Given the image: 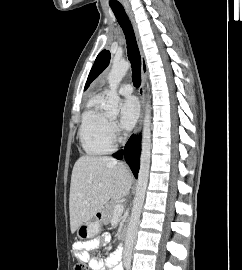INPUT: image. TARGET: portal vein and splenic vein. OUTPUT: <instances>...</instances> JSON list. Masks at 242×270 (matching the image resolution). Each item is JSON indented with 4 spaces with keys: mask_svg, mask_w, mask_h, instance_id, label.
I'll use <instances>...</instances> for the list:
<instances>
[{
    "mask_svg": "<svg viewBox=\"0 0 242 270\" xmlns=\"http://www.w3.org/2000/svg\"><path fill=\"white\" fill-rule=\"evenodd\" d=\"M124 206L122 203L117 202L115 207H114V214L115 215H120L123 213Z\"/></svg>",
    "mask_w": 242,
    "mask_h": 270,
    "instance_id": "1",
    "label": "portal vein and splenic vein"
}]
</instances>
